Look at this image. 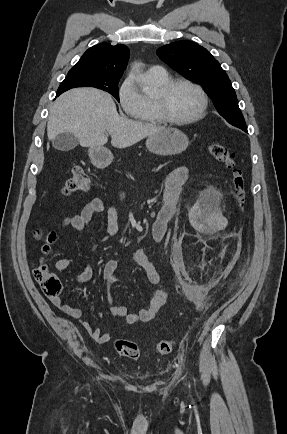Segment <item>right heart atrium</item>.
<instances>
[{
	"label": "right heart atrium",
	"mask_w": 287,
	"mask_h": 434,
	"mask_svg": "<svg viewBox=\"0 0 287 434\" xmlns=\"http://www.w3.org/2000/svg\"><path fill=\"white\" fill-rule=\"evenodd\" d=\"M118 99L123 111L131 116L143 106V95L137 88L133 76H127L118 89Z\"/></svg>",
	"instance_id": "d8ad5b80"
}]
</instances>
